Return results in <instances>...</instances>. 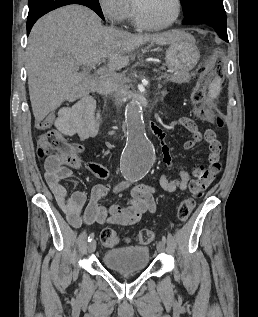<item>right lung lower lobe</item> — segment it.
I'll list each match as a JSON object with an SVG mask.
<instances>
[{
    "label": "right lung lower lobe",
    "mask_w": 258,
    "mask_h": 317,
    "mask_svg": "<svg viewBox=\"0 0 258 317\" xmlns=\"http://www.w3.org/2000/svg\"><path fill=\"white\" fill-rule=\"evenodd\" d=\"M69 4H81L95 11L103 20L104 16L99 5V0H29V13L27 18V35L34 23L44 14Z\"/></svg>",
    "instance_id": "obj_1"
}]
</instances>
